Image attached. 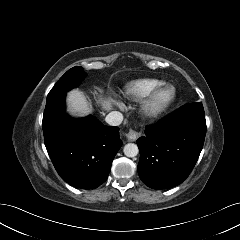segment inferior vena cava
<instances>
[{"label": "inferior vena cava", "mask_w": 240, "mask_h": 240, "mask_svg": "<svg viewBox=\"0 0 240 240\" xmlns=\"http://www.w3.org/2000/svg\"><path fill=\"white\" fill-rule=\"evenodd\" d=\"M105 121L109 125L118 126L123 121V115L118 111H112L106 116Z\"/></svg>", "instance_id": "602c4592"}]
</instances>
